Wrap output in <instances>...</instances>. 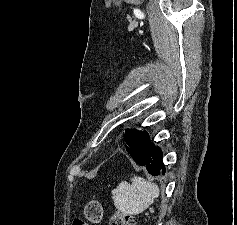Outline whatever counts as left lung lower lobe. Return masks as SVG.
<instances>
[{
  "instance_id": "obj_1",
  "label": "left lung lower lobe",
  "mask_w": 237,
  "mask_h": 225,
  "mask_svg": "<svg viewBox=\"0 0 237 225\" xmlns=\"http://www.w3.org/2000/svg\"><path fill=\"white\" fill-rule=\"evenodd\" d=\"M124 139L126 151L137 164L145 166L153 176L165 173L161 150L151 143L146 131L127 129Z\"/></svg>"
}]
</instances>
